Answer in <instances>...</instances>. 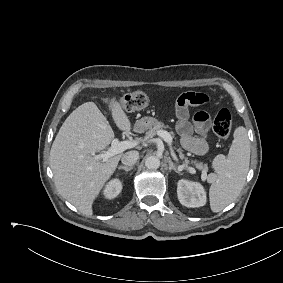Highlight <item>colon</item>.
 <instances>
[{
	"mask_svg": "<svg viewBox=\"0 0 283 283\" xmlns=\"http://www.w3.org/2000/svg\"><path fill=\"white\" fill-rule=\"evenodd\" d=\"M148 104V96L142 91H134L126 94L120 100V105L127 111L133 112L145 108ZM232 127V116L228 109H221L213 122L214 133L221 138L229 136Z\"/></svg>",
	"mask_w": 283,
	"mask_h": 283,
	"instance_id": "colon-1",
	"label": "colon"
}]
</instances>
